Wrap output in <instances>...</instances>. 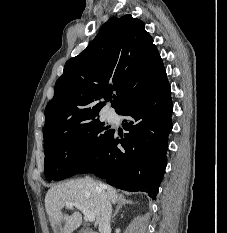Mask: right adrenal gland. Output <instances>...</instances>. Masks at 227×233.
Instances as JSON below:
<instances>
[{
	"label": "right adrenal gland",
	"mask_w": 227,
	"mask_h": 233,
	"mask_svg": "<svg viewBox=\"0 0 227 233\" xmlns=\"http://www.w3.org/2000/svg\"><path fill=\"white\" fill-rule=\"evenodd\" d=\"M126 204H133L132 201L127 200L126 198L122 197L118 200V205L116 207V210L112 216V221L114 222L115 220V216L118 214L119 210L122 208V206L126 205Z\"/></svg>",
	"instance_id": "obj_1"
}]
</instances>
